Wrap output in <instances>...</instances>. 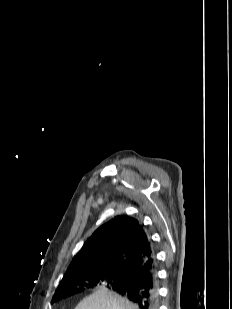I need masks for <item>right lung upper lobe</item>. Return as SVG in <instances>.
Wrapping results in <instances>:
<instances>
[{
  "label": "right lung upper lobe",
  "instance_id": "cb5924a9",
  "mask_svg": "<svg viewBox=\"0 0 232 309\" xmlns=\"http://www.w3.org/2000/svg\"><path fill=\"white\" fill-rule=\"evenodd\" d=\"M154 255L142 224L127 215L100 226L74 256L62 281L87 271L127 272Z\"/></svg>",
  "mask_w": 232,
  "mask_h": 309
}]
</instances>
